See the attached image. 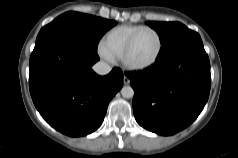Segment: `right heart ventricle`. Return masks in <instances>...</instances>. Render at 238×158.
I'll use <instances>...</instances> for the list:
<instances>
[{
    "label": "right heart ventricle",
    "mask_w": 238,
    "mask_h": 158,
    "mask_svg": "<svg viewBox=\"0 0 238 158\" xmlns=\"http://www.w3.org/2000/svg\"><path fill=\"white\" fill-rule=\"evenodd\" d=\"M142 25H119L110 29L103 37L101 46L114 58H121L123 50L131 36Z\"/></svg>",
    "instance_id": "right-heart-ventricle-1"
}]
</instances>
